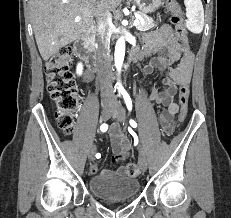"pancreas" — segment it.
Returning a JSON list of instances; mask_svg holds the SVG:
<instances>
[{"mask_svg": "<svg viewBox=\"0 0 231 218\" xmlns=\"http://www.w3.org/2000/svg\"><path fill=\"white\" fill-rule=\"evenodd\" d=\"M138 14L140 15V17L144 21V24H139L137 26V29L139 31H147V30L154 28L156 26V24L154 23V21L151 17L147 16L146 14H144L142 12H138Z\"/></svg>", "mask_w": 231, "mask_h": 218, "instance_id": "pancreas-1", "label": "pancreas"}]
</instances>
